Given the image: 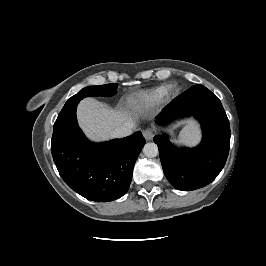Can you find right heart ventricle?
I'll list each match as a JSON object with an SVG mask.
<instances>
[{"mask_svg": "<svg viewBox=\"0 0 266 266\" xmlns=\"http://www.w3.org/2000/svg\"><path fill=\"white\" fill-rule=\"evenodd\" d=\"M165 97V88H157L145 93L140 94L135 102L139 105L152 106L160 103Z\"/></svg>", "mask_w": 266, "mask_h": 266, "instance_id": "e07e8e85", "label": "right heart ventricle"}]
</instances>
